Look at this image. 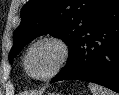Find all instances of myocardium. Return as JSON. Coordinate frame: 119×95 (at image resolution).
I'll list each match as a JSON object with an SVG mask.
<instances>
[{"label": "myocardium", "instance_id": "myocardium-1", "mask_svg": "<svg viewBox=\"0 0 119 95\" xmlns=\"http://www.w3.org/2000/svg\"><path fill=\"white\" fill-rule=\"evenodd\" d=\"M47 42L53 43L59 47L60 58L56 64V66L54 67V69L49 74H47L45 76H35L29 71V68H28L29 54L34 47H36L37 45H39L41 43H47ZM70 56H71V47H70L69 43L64 38L57 36V35L43 36V37H40V38L36 39L35 41H33L27 48V50L24 54V58H23L24 69H25V72L31 78H33L35 80L46 81V80H49V79L55 77L66 66V64L68 63V61L70 59Z\"/></svg>", "mask_w": 119, "mask_h": 95}]
</instances>
